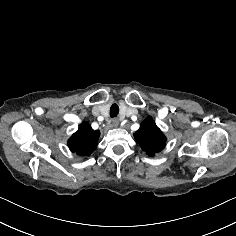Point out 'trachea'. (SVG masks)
Here are the masks:
<instances>
[{
  "label": "trachea",
  "instance_id": "obj_1",
  "mask_svg": "<svg viewBox=\"0 0 236 236\" xmlns=\"http://www.w3.org/2000/svg\"><path fill=\"white\" fill-rule=\"evenodd\" d=\"M119 113V106L117 104H112L110 107V117H116L117 114Z\"/></svg>",
  "mask_w": 236,
  "mask_h": 236
}]
</instances>
